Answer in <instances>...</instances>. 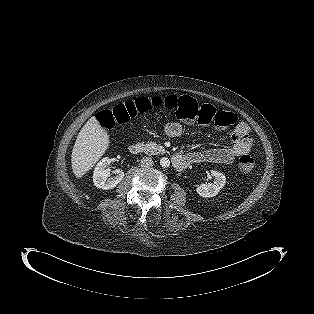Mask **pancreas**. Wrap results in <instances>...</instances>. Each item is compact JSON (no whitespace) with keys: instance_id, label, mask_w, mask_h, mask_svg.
<instances>
[{"instance_id":"obj_1","label":"pancreas","mask_w":314,"mask_h":314,"mask_svg":"<svg viewBox=\"0 0 314 314\" xmlns=\"http://www.w3.org/2000/svg\"><path fill=\"white\" fill-rule=\"evenodd\" d=\"M143 150L147 155L164 154L166 152L163 146L157 145L155 142L145 144Z\"/></svg>"}]
</instances>
